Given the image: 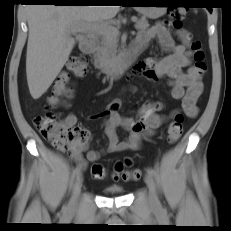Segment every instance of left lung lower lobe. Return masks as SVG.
<instances>
[{
  "label": "left lung lower lobe",
  "mask_w": 231,
  "mask_h": 231,
  "mask_svg": "<svg viewBox=\"0 0 231 231\" xmlns=\"http://www.w3.org/2000/svg\"><path fill=\"white\" fill-rule=\"evenodd\" d=\"M207 9H208L210 12H212V8H211V7H207Z\"/></svg>",
  "instance_id": "1"
}]
</instances>
